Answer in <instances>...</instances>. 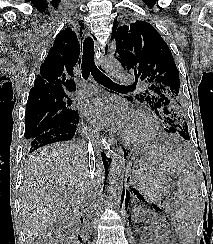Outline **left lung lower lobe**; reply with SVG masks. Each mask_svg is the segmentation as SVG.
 I'll return each instance as SVG.
<instances>
[{"label": "left lung lower lobe", "instance_id": "1", "mask_svg": "<svg viewBox=\"0 0 213 244\" xmlns=\"http://www.w3.org/2000/svg\"><path fill=\"white\" fill-rule=\"evenodd\" d=\"M124 152H125V156H126V154L128 155V151L126 152V150H124ZM122 197H123V193H122ZM121 204H122V202H121Z\"/></svg>", "mask_w": 213, "mask_h": 244}]
</instances>
